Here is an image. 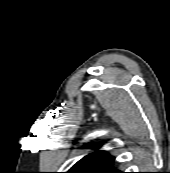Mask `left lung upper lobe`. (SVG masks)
Returning a JSON list of instances; mask_svg holds the SVG:
<instances>
[{
    "label": "left lung upper lobe",
    "instance_id": "5c2ea615",
    "mask_svg": "<svg viewBox=\"0 0 170 173\" xmlns=\"http://www.w3.org/2000/svg\"><path fill=\"white\" fill-rule=\"evenodd\" d=\"M101 145L93 146L97 150ZM115 158L104 151H95L79 160L66 173H123L113 167Z\"/></svg>",
    "mask_w": 170,
    "mask_h": 173
}]
</instances>
